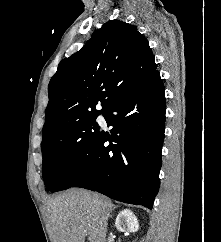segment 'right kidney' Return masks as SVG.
Returning a JSON list of instances; mask_svg holds the SVG:
<instances>
[{
    "instance_id": "ca27d5eb",
    "label": "right kidney",
    "mask_w": 221,
    "mask_h": 242,
    "mask_svg": "<svg viewBox=\"0 0 221 242\" xmlns=\"http://www.w3.org/2000/svg\"><path fill=\"white\" fill-rule=\"evenodd\" d=\"M115 226L121 232H137L139 229L138 219L129 209H124L117 215Z\"/></svg>"
}]
</instances>
